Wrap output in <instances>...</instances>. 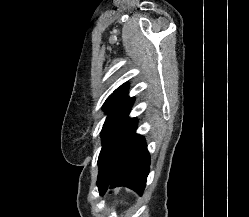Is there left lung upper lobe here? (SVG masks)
Instances as JSON below:
<instances>
[{
	"label": "left lung upper lobe",
	"instance_id": "5c2ea615",
	"mask_svg": "<svg viewBox=\"0 0 249 217\" xmlns=\"http://www.w3.org/2000/svg\"><path fill=\"white\" fill-rule=\"evenodd\" d=\"M128 83L117 88L105 101L104 111L107 118L101 131L102 149L99 155V168L109 173L113 167V161L117 148V139L120 127L130 113L134 98L128 97Z\"/></svg>",
	"mask_w": 249,
	"mask_h": 217
}]
</instances>
